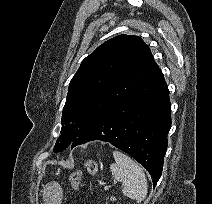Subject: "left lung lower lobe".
<instances>
[{
	"label": "left lung lower lobe",
	"mask_w": 212,
	"mask_h": 204,
	"mask_svg": "<svg viewBox=\"0 0 212 204\" xmlns=\"http://www.w3.org/2000/svg\"><path fill=\"white\" fill-rule=\"evenodd\" d=\"M170 113L169 90L158 68L86 130L75 146L93 140L111 143L143 165L155 187L168 145Z\"/></svg>",
	"instance_id": "left-lung-lower-lobe-1"
}]
</instances>
